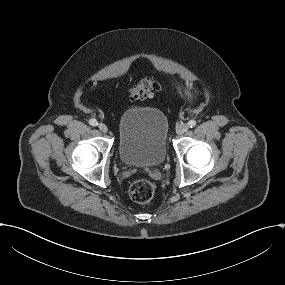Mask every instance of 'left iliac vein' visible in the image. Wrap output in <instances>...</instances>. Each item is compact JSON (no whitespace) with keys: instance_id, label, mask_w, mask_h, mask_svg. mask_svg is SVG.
Masks as SVG:
<instances>
[{"instance_id":"4c4485c4","label":"left iliac vein","mask_w":285,"mask_h":285,"mask_svg":"<svg viewBox=\"0 0 285 285\" xmlns=\"http://www.w3.org/2000/svg\"><path fill=\"white\" fill-rule=\"evenodd\" d=\"M187 130H188V125H187V124H180V125L176 128V132H177V134H179V135L185 133Z\"/></svg>"}]
</instances>
